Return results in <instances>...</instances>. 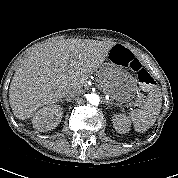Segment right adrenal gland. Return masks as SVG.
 I'll use <instances>...</instances> for the list:
<instances>
[{
    "label": "right adrenal gland",
    "instance_id": "obj_1",
    "mask_svg": "<svg viewBox=\"0 0 178 178\" xmlns=\"http://www.w3.org/2000/svg\"><path fill=\"white\" fill-rule=\"evenodd\" d=\"M65 101L70 102V101H71V98L63 99V100H61V103H64Z\"/></svg>",
    "mask_w": 178,
    "mask_h": 178
}]
</instances>
